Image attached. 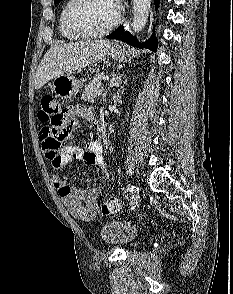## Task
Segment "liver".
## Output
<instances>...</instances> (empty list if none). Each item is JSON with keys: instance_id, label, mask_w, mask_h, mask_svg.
Instances as JSON below:
<instances>
[{"instance_id": "6515ba94", "label": "liver", "mask_w": 233, "mask_h": 294, "mask_svg": "<svg viewBox=\"0 0 233 294\" xmlns=\"http://www.w3.org/2000/svg\"><path fill=\"white\" fill-rule=\"evenodd\" d=\"M112 47L105 40L80 41L51 47L41 60L35 77V89H41L57 76L99 61Z\"/></svg>"}]
</instances>
